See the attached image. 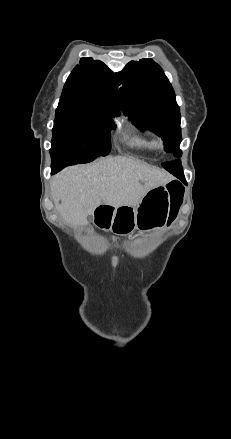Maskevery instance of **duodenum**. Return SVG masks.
Returning <instances> with one entry per match:
<instances>
[{
	"instance_id": "410a0bca",
	"label": "duodenum",
	"mask_w": 231,
	"mask_h": 439,
	"mask_svg": "<svg viewBox=\"0 0 231 439\" xmlns=\"http://www.w3.org/2000/svg\"><path fill=\"white\" fill-rule=\"evenodd\" d=\"M100 210H101V212H102V215H101V216L104 217V216H105L104 213H105L106 211H108V206H107V205H101V206H100Z\"/></svg>"
}]
</instances>
